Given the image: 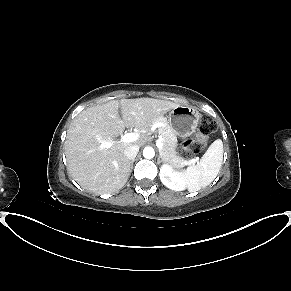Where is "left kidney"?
<instances>
[{"label":"left kidney","mask_w":291,"mask_h":291,"mask_svg":"<svg viewBox=\"0 0 291 291\" xmlns=\"http://www.w3.org/2000/svg\"><path fill=\"white\" fill-rule=\"evenodd\" d=\"M160 180L169 189L183 191L186 189V181L182 175L175 172L172 166L164 164L160 168Z\"/></svg>","instance_id":"obj_1"}]
</instances>
